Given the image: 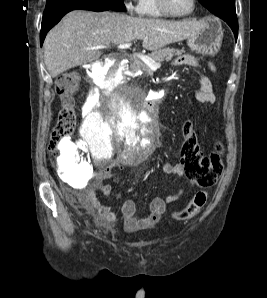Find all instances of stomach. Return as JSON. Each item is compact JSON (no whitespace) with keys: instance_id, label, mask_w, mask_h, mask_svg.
Returning a JSON list of instances; mask_svg holds the SVG:
<instances>
[{"instance_id":"obj_1","label":"stomach","mask_w":267,"mask_h":298,"mask_svg":"<svg viewBox=\"0 0 267 298\" xmlns=\"http://www.w3.org/2000/svg\"><path fill=\"white\" fill-rule=\"evenodd\" d=\"M205 27L195 36L187 39L188 46L203 55H216L220 50L223 30L221 24L213 19H208Z\"/></svg>"}]
</instances>
